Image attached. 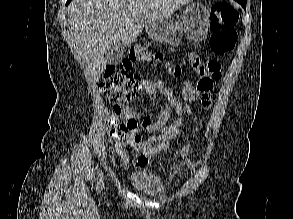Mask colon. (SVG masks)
Here are the masks:
<instances>
[{"instance_id": "5ec220e1", "label": "colon", "mask_w": 293, "mask_h": 219, "mask_svg": "<svg viewBox=\"0 0 293 219\" xmlns=\"http://www.w3.org/2000/svg\"><path fill=\"white\" fill-rule=\"evenodd\" d=\"M211 36L209 45L216 55H224L235 47L237 41L236 26L239 21V12L229 3L219 2L211 7ZM162 63L164 55L153 52L145 46L133 47L126 58L118 66H108L99 84L100 92L112 104L109 115L111 124L125 126V115L129 105L142 93L141 78L130 71L133 63ZM190 65L202 78V90L209 89L221 77V64L218 60L211 59L204 62L199 55L190 54L184 63L166 62L169 72L174 77H180L183 66Z\"/></svg>"}]
</instances>
